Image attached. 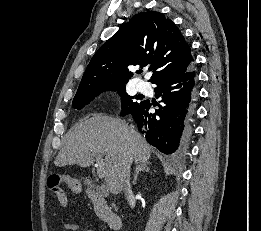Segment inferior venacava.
<instances>
[{"label":"inferior vena cava","instance_id":"602c4592","mask_svg":"<svg viewBox=\"0 0 261 231\" xmlns=\"http://www.w3.org/2000/svg\"><path fill=\"white\" fill-rule=\"evenodd\" d=\"M128 169H130V166H128ZM124 186H125L124 190H125L128 202L131 205L132 191H131V187H130V183H129V171L126 173ZM132 207H133V205H132Z\"/></svg>","mask_w":261,"mask_h":231}]
</instances>
